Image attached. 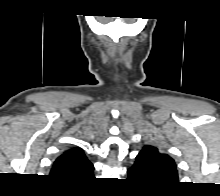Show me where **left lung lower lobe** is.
I'll return each instance as SVG.
<instances>
[{
	"mask_svg": "<svg viewBox=\"0 0 220 196\" xmlns=\"http://www.w3.org/2000/svg\"><path fill=\"white\" fill-rule=\"evenodd\" d=\"M128 179L155 186V183L144 169L142 164L137 160V157L134 165L128 170Z\"/></svg>",
	"mask_w": 220,
	"mask_h": 196,
	"instance_id": "left-lung-lower-lobe-1",
	"label": "left lung lower lobe"
}]
</instances>
